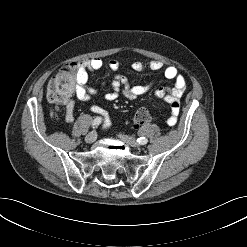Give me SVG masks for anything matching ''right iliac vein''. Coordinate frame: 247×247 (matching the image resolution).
Masks as SVG:
<instances>
[{"instance_id": "1", "label": "right iliac vein", "mask_w": 247, "mask_h": 247, "mask_svg": "<svg viewBox=\"0 0 247 247\" xmlns=\"http://www.w3.org/2000/svg\"><path fill=\"white\" fill-rule=\"evenodd\" d=\"M97 138V133L95 131L90 132L86 137L85 141L87 143H93Z\"/></svg>"}]
</instances>
